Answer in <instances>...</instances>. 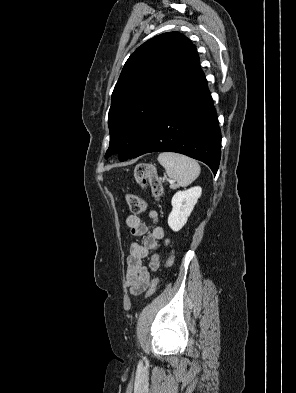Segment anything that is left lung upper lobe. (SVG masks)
Segmentation results:
<instances>
[{"label":"left lung upper lobe","instance_id":"1","mask_svg":"<svg viewBox=\"0 0 296 393\" xmlns=\"http://www.w3.org/2000/svg\"><path fill=\"white\" fill-rule=\"evenodd\" d=\"M200 71L195 46L178 32L163 33L138 47L112 94L105 157L119 152V159L127 160L166 106Z\"/></svg>","mask_w":296,"mask_h":393}]
</instances>
